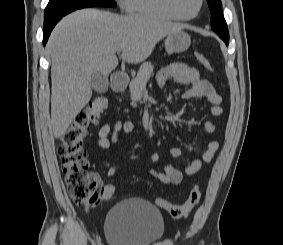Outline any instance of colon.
<instances>
[{
    "mask_svg": "<svg viewBox=\"0 0 283 245\" xmlns=\"http://www.w3.org/2000/svg\"><path fill=\"white\" fill-rule=\"evenodd\" d=\"M197 61L207 70L212 71L208 59L200 52L195 53ZM108 100L105 97L92 99L73 119L61 137L58 154L62 171L65 175L68 193L77 205L87 209L93 207L99 200L109 202L114 193V184L103 185L98 191V184L89 173L87 153L83 149V140L88 130L94 126L101 114L107 109ZM202 193L199 187H193L187 199L181 204H173L166 199L158 197L156 205L167 211L172 218L188 217L200 203Z\"/></svg>",
    "mask_w": 283,
    "mask_h": 245,
    "instance_id": "1",
    "label": "colon"
}]
</instances>
